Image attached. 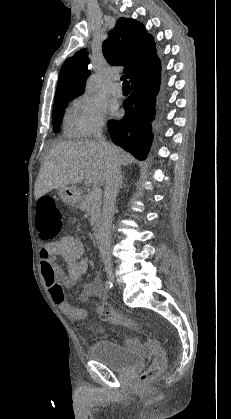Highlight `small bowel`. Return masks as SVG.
Wrapping results in <instances>:
<instances>
[{"label":"small bowel","mask_w":231,"mask_h":419,"mask_svg":"<svg viewBox=\"0 0 231 419\" xmlns=\"http://www.w3.org/2000/svg\"><path fill=\"white\" fill-rule=\"evenodd\" d=\"M85 245L79 237L64 236L60 240L45 244L40 248L39 258L41 273L50 295L58 308L74 319H84L87 311L73 307L65 297L64 289L72 288L89 268V259L84 256ZM60 256L66 263L64 270L57 263ZM107 294L99 278H95L84 289L83 299H106ZM104 306V305H102ZM129 343H137V339L129 338Z\"/></svg>","instance_id":"c3829d8e"}]
</instances>
